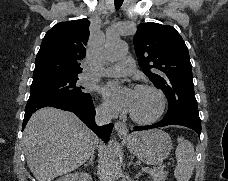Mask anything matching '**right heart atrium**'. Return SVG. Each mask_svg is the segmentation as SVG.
<instances>
[{
  "mask_svg": "<svg viewBox=\"0 0 228 181\" xmlns=\"http://www.w3.org/2000/svg\"><path fill=\"white\" fill-rule=\"evenodd\" d=\"M99 110L101 111V112H105V106L104 105H102L100 108H99Z\"/></svg>",
  "mask_w": 228,
  "mask_h": 181,
  "instance_id": "right-heart-atrium-1",
  "label": "right heart atrium"
}]
</instances>
